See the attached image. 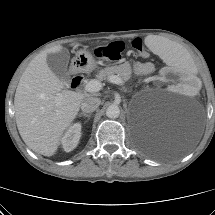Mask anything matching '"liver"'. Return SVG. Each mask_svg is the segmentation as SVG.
<instances>
[{
  "instance_id": "1",
  "label": "liver",
  "mask_w": 215,
  "mask_h": 215,
  "mask_svg": "<svg viewBox=\"0 0 215 215\" xmlns=\"http://www.w3.org/2000/svg\"><path fill=\"white\" fill-rule=\"evenodd\" d=\"M61 49L60 45L52 46L31 60L19 80L14 98L21 138L30 149L44 156L55 154L64 131L88 97L81 92L63 90L64 83L49 68L47 54Z\"/></svg>"
}]
</instances>
